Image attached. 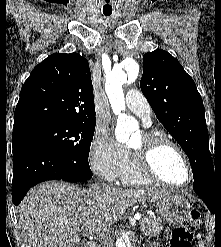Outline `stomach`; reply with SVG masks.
<instances>
[{"label": "stomach", "mask_w": 221, "mask_h": 247, "mask_svg": "<svg viewBox=\"0 0 221 247\" xmlns=\"http://www.w3.org/2000/svg\"><path fill=\"white\" fill-rule=\"evenodd\" d=\"M156 209L164 222L177 224L188 214L190 205L183 197L168 194L156 201Z\"/></svg>", "instance_id": "stomach-1"}]
</instances>
